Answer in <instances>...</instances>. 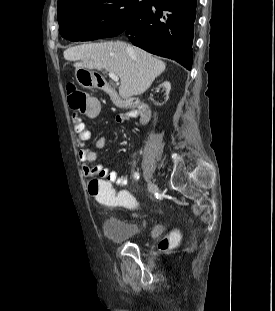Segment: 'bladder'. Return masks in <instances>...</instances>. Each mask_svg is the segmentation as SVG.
<instances>
[{"mask_svg": "<svg viewBox=\"0 0 275 311\" xmlns=\"http://www.w3.org/2000/svg\"><path fill=\"white\" fill-rule=\"evenodd\" d=\"M106 236L113 241H127L139 236V224L126 221L117 216H108L103 224Z\"/></svg>", "mask_w": 275, "mask_h": 311, "instance_id": "31cf9c89", "label": "bladder"}]
</instances>
